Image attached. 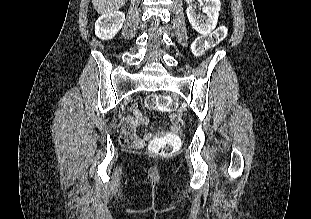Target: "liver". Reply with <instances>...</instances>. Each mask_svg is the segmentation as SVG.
Masks as SVG:
<instances>
[{
    "instance_id": "1",
    "label": "liver",
    "mask_w": 311,
    "mask_h": 219,
    "mask_svg": "<svg viewBox=\"0 0 311 219\" xmlns=\"http://www.w3.org/2000/svg\"><path fill=\"white\" fill-rule=\"evenodd\" d=\"M126 2L127 0H92L94 9L101 15L119 10Z\"/></svg>"
}]
</instances>
